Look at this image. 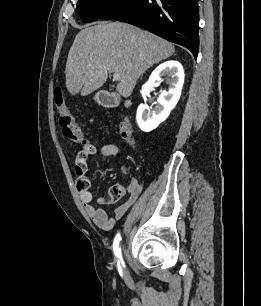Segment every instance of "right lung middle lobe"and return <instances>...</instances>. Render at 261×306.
Here are the masks:
<instances>
[{"mask_svg":"<svg viewBox=\"0 0 261 306\" xmlns=\"http://www.w3.org/2000/svg\"><path fill=\"white\" fill-rule=\"evenodd\" d=\"M121 0H78L77 13L85 23L97 20Z\"/></svg>","mask_w":261,"mask_h":306,"instance_id":"obj_1","label":"right lung middle lobe"}]
</instances>
